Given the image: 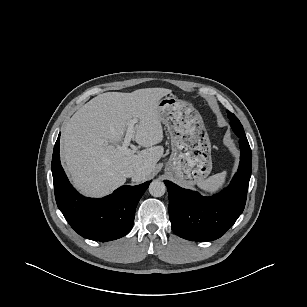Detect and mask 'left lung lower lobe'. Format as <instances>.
<instances>
[{
  "label": "left lung lower lobe",
  "instance_id": "left-lung-lower-lobe-1",
  "mask_svg": "<svg viewBox=\"0 0 307 307\" xmlns=\"http://www.w3.org/2000/svg\"><path fill=\"white\" fill-rule=\"evenodd\" d=\"M239 168L230 185L219 194L203 197L164 181L169 193V218L181 238L205 242L220 238L244 210L251 177L252 152L247 138L239 140Z\"/></svg>",
  "mask_w": 307,
  "mask_h": 307
}]
</instances>
